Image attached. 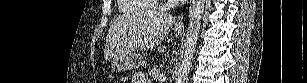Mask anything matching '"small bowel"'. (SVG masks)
<instances>
[{"label": "small bowel", "instance_id": "small-bowel-1", "mask_svg": "<svg viewBox=\"0 0 307 83\" xmlns=\"http://www.w3.org/2000/svg\"><path fill=\"white\" fill-rule=\"evenodd\" d=\"M133 83H149L143 73H135L132 79Z\"/></svg>", "mask_w": 307, "mask_h": 83}]
</instances>
